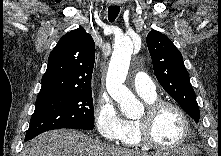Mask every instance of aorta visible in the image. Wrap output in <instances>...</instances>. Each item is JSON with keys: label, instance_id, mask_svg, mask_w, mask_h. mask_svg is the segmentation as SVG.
<instances>
[{"label": "aorta", "instance_id": "aorta-1", "mask_svg": "<svg viewBox=\"0 0 221 156\" xmlns=\"http://www.w3.org/2000/svg\"><path fill=\"white\" fill-rule=\"evenodd\" d=\"M133 48V42L129 36H124L115 42L106 78L108 93L120 104L121 113L129 118L139 117L143 112L142 104L124 85Z\"/></svg>", "mask_w": 221, "mask_h": 156}]
</instances>
